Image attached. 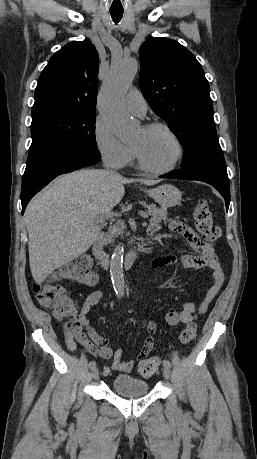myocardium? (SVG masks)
<instances>
[{"label": "myocardium", "instance_id": "f54148a6", "mask_svg": "<svg viewBox=\"0 0 257 459\" xmlns=\"http://www.w3.org/2000/svg\"><path fill=\"white\" fill-rule=\"evenodd\" d=\"M142 128L146 131L155 130V129L164 130L173 139L176 145V148H177V154L171 164L163 168H156V167L149 165L145 161L140 150L135 145H133V150L137 158V161L139 163V166L143 170L150 172V173H154V174H166V173L173 171L178 166V164L181 162L183 155H184V147H183V144L179 136L168 125L161 123V122L147 123Z\"/></svg>", "mask_w": 257, "mask_h": 459}]
</instances>
